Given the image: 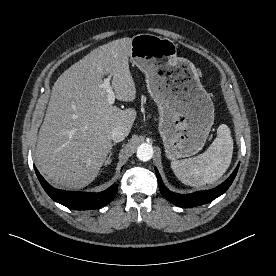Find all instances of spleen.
I'll return each instance as SVG.
<instances>
[{
	"label": "spleen",
	"instance_id": "3e777b00",
	"mask_svg": "<svg viewBox=\"0 0 276 276\" xmlns=\"http://www.w3.org/2000/svg\"><path fill=\"white\" fill-rule=\"evenodd\" d=\"M233 154V139L227 125L221 124L217 137L202 154L171 162L176 177L189 186H202L217 181L228 169Z\"/></svg>",
	"mask_w": 276,
	"mask_h": 276
}]
</instances>
